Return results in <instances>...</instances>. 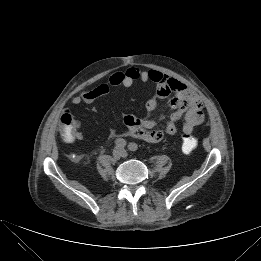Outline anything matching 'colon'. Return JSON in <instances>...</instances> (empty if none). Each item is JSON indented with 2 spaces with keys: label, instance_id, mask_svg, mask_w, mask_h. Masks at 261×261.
I'll list each match as a JSON object with an SVG mask.
<instances>
[{
  "label": "colon",
  "instance_id": "5ec220e1",
  "mask_svg": "<svg viewBox=\"0 0 261 261\" xmlns=\"http://www.w3.org/2000/svg\"><path fill=\"white\" fill-rule=\"evenodd\" d=\"M60 128H61V135L62 138L66 142H72L75 138L78 122L77 120L71 115V113L66 110L60 117L59 120ZM198 141L197 139L192 136L190 133H184L181 139V146L182 150L185 153L192 152L197 147Z\"/></svg>",
  "mask_w": 261,
  "mask_h": 261
}]
</instances>
